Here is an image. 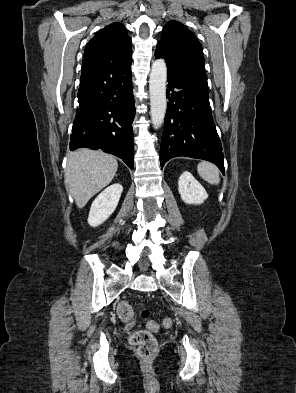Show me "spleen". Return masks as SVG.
<instances>
[{"label": "spleen", "instance_id": "obj_1", "mask_svg": "<svg viewBox=\"0 0 296 393\" xmlns=\"http://www.w3.org/2000/svg\"><path fill=\"white\" fill-rule=\"evenodd\" d=\"M198 174L201 178L207 181L210 184H219L220 177H219V170L218 168L213 165L212 163L202 161L197 166Z\"/></svg>", "mask_w": 296, "mask_h": 393}]
</instances>
